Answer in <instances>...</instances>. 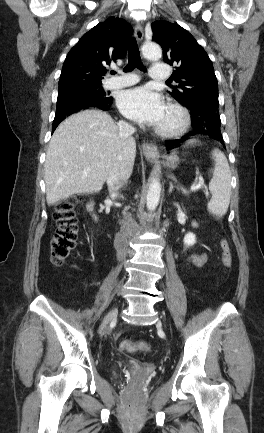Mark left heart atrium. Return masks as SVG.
Wrapping results in <instances>:
<instances>
[{"label": "left heart atrium", "mask_w": 264, "mask_h": 433, "mask_svg": "<svg viewBox=\"0 0 264 433\" xmlns=\"http://www.w3.org/2000/svg\"><path fill=\"white\" fill-rule=\"evenodd\" d=\"M117 104L127 118L148 125H159L166 112L162 96L145 86L122 92Z\"/></svg>", "instance_id": "39dd6f15"}]
</instances>
